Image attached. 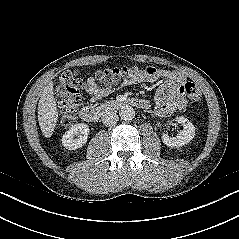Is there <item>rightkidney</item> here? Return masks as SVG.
I'll use <instances>...</instances> for the list:
<instances>
[{"label": "right kidney", "instance_id": "obj_1", "mask_svg": "<svg viewBox=\"0 0 239 239\" xmlns=\"http://www.w3.org/2000/svg\"><path fill=\"white\" fill-rule=\"evenodd\" d=\"M89 132V126L87 124H75L62 136V144L68 150L81 148L86 144Z\"/></svg>", "mask_w": 239, "mask_h": 239}]
</instances>
